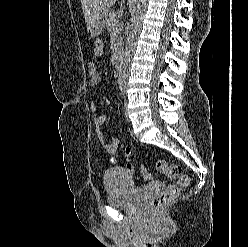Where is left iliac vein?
I'll list each match as a JSON object with an SVG mask.
<instances>
[{"label": "left iliac vein", "mask_w": 248, "mask_h": 247, "mask_svg": "<svg viewBox=\"0 0 248 247\" xmlns=\"http://www.w3.org/2000/svg\"><path fill=\"white\" fill-rule=\"evenodd\" d=\"M124 110H125V117L126 119L129 121V118H128V111H127V102L125 101L124 103Z\"/></svg>", "instance_id": "obj_1"}]
</instances>
